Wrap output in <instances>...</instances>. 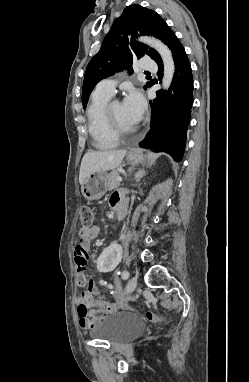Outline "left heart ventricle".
<instances>
[{"label": "left heart ventricle", "mask_w": 249, "mask_h": 382, "mask_svg": "<svg viewBox=\"0 0 249 382\" xmlns=\"http://www.w3.org/2000/svg\"><path fill=\"white\" fill-rule=\"evenodd\" d=\"M112 115L122 128L131 130L136 127V124L126 116L121 103L115 102L112 105Z\"/></svg>", "instance_id": "b2bd125f"}]
</instances>
